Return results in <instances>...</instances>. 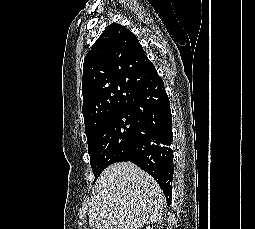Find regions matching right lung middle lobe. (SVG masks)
Segmentation results:
<instances>
[{"mask_svg":"<svg viewBox=\"0 0 255 229\" xmlns=\"http://www.w3.org/2000/svg\"><path fill=\"white\" fill-rule=\"evenodd\" d=\"M135 129V118L122 110L87 138L90 165L95 178L109 165L128 160Z\"/></svg>","mask_w":255,"mask_h":229,"instance_id":"right-lung-middle-lobe-1","label":"right lung middle lobe"}]
</instances>
